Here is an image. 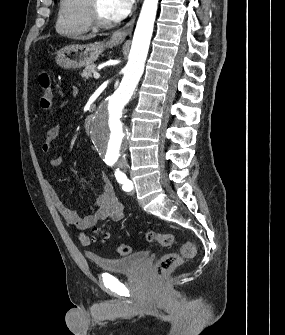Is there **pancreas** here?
<instances>
[{
  "instance_id": "1",
  "label": "pancreas",
  "mask_w": 285,
  "mask_h": 335,
  "mask_svg": "<svg viewBox=\"0 0 285 335\" xmlns=\"http://www.w3.org/2000/svg\"><path fill=\"white\" fill-rule=\"evenodd\" d=\"M96 68H97L96 64H89V66H85V70H83L81 74V76H83V80L89 81L90 74H92V72H97Z\"/></svg>"
}]
</instances>
